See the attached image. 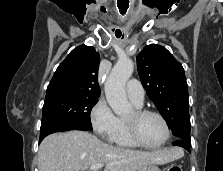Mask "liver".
<instances>
[{"label":"liver","mask_w":223,"mask_h":171,"mask_svg":"<svg viewBox=\"0 0 223 171\" xmlns=\"http://www.w3.org/2000/svg\"><path fill=\"white\" fill-rule=\"evenodd\" d=\"M183 156L179 148L143 152L112 146L96 136L73 130L55 133L41 142L39 171H87L105 164L104 171H137L148 164H166Z\"/></svg>","instance_id":"1"}]
</instances>
